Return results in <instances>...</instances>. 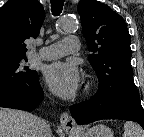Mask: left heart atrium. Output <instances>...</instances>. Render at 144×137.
<instances>
[{
  "mask_svg": "<svg viewBox=\"0 0 144 137\" xmlns=\"http://www.w3.org/2000/svg\"><path fill=\"white\" fill-rule=\"evenodd\" d=\"M50 89L63 99H71L80 88L81 76L73 62H56L46 69Z\"/></svg>",
  "mask_w": 144,
  "mask_h": 137,
  "instance_id": "left-heart-atrium-1",
  "label": "left heart atrium"
}]
</instances>
